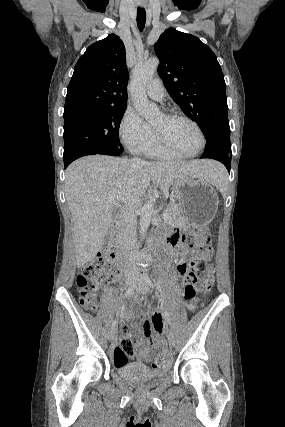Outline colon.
Returning <instances> with one entry per match:
<instances>
[{"mask_svg": "<svg viewBox=\"0 0 285 427\" xmlns=\"http://www.w3.org/2000/svg\"><path fill=\"white\" fill-rule=\"evenodd\" d=\"M201 186V184H199ZM185 243L188 247L195 248L196 251L208 252L209 250V237L197 230L189 231L185 234ZM110 260L105 257L93 259L81 266L80 273L77 276V285L79 290L80 303L84 308L90 311L96 309V294L108 284ZM201 270L196 277V282L191 283L188 281L186 285L185 298L188 301L195 302L196 295L200 292L207 293L211 290L213 285L214 267L205 265L201 262L183 263L181 271L184 274H189L191 270ZM205 275V276H204ZM122 331L126 330L124 323L120 324ZM117 349L124 353L126 356H132L136 347L130 338H121L117 343ZM169 364V357L166 353H160L154 360V366L163 368Z\"/></svg>", "mask_w": 285, "mask_h": 427, "instance_id": "colon-1", "label": "colon"}]
</instances>
